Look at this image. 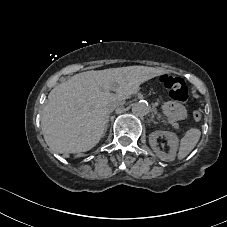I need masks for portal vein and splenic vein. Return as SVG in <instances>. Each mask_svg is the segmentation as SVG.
<instances>
[{
	"mask_svg": "<svg viewBox=\"0 0 227 227\" xmlns=\"http://www.w3.org/2000/svg\"><path fill=\"white\" fill-rule=\"evenodd\" d=\"M156 109L158 108L157 106L155 107ZM159 112L161 111L160 109L158 110ZM160 115H161V117L163 118L164 116H163V114L160 112L159 113ZM164 119V121L166 122V123H169V124H171L174 128H177L179 131L181 130L179 127H178V125L174 122V121H172L171 119H168V118H163Z\"/></svg>",
	"mask_w": 227,
	"mask_h": 227,
	"instance_id": "1",
	"label": "portal vein and splenic vein"
}]
</instances>
